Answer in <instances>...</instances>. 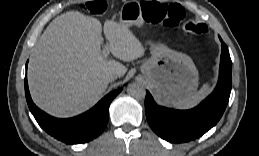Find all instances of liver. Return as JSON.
<instances>
[{
    "label": "liver",
    "mask_w": 259,
    "mask_h": 156,
    "mask_svg": "<svg viewBox=\"0 0 259 156\" xmlns=\"http://www.w3.org/2000/svg\"><path fill=\"white\" fill-rule=\"evenodd\" d=\"M104 34L109 50L122 61L142 57L145 49L127 25L106 21ZM100 22L79 11L57 16L37 41L28 68L33 101L52 116L78 115L98 102L108 75L123 76L127 68L101 54Z\"/></svg>",
    "instance_id": "liver-1"
}]
</instances>
